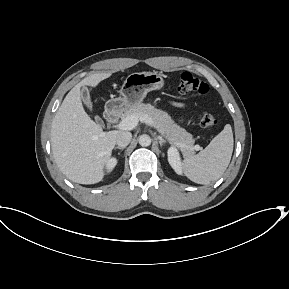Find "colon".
<instances>
[{"label":"colon","instance_id":"colon-1","mask_svg":"<svg viewBox=\"0 0 289 289\" xmlns=\"http://www.w3.org/2000/svg\"><path fill=\"white\" fill-rule=\"evenodd\" d=\"M209 90L210 88L208 84L201 79L195 77L192 73L183 72L181 74L177 86V91L180 94L186 95L190 93H197L205 95L209 92ZM216 123V118L210 113H205L201 117L200 124L206 130L212 129L216 125Z\"/></svg>","mask_w":289,"mask_h":289}]
</instances>
